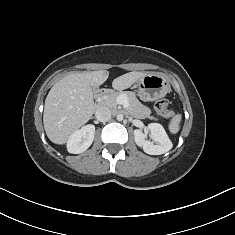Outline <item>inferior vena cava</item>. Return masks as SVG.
<instances>
[{
  "label": "inferior vena cava",
  "mask_w": 235,
  "mask_h": 235,
  "mask_svg": "<svg viewBox=\"0 0 235 235\" xmlns=\"http://www.w3.org/2000/svg\"><path fill=\"white\" fill-rule=\"evenodd\" d=\"M111 111L109 108L107 107H99L96 112H95V116L97 118V120L104 122V121H108L111 118Z\"/></svg>",
  "instance_id": "obj_1"
}]
</instances>
